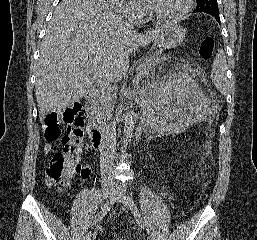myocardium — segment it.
Returning <instances> with one entry per match:
<instances>
[{"label": "myocardium", "mask_w": 257, "mask_h": 240, "mask_svg": "<svg viewBox=\"0 0 257 240\" xmlns=\"http://www.w3.org/2000/svg\"><path fill=\"white\" fill-rule=\"evenodd\" d=\"M144 4H145L147 14L152 21H155L158 23H173V22H178L182 20L184 17H186V15L192 9L193 0H185L183 8L178 13L171 16H165V17L155 14L151 9L148 3V0H144Z\"/></svg>", "instance_id": "1"}]
</instances>
